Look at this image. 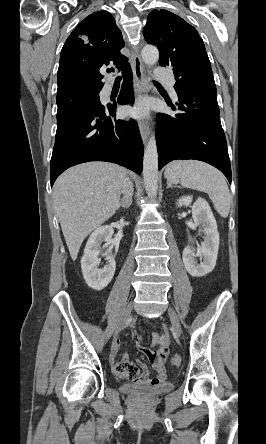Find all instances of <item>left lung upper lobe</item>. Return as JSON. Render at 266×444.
Instances as JSON below:
<instances>
[{"mask_svg":"<svg viewBox=\"0 0 266 444\" xmlns=\"http://www.w3.org/2000/svg\"><path fill=\"white\" fill-rule=\"evenodd\" d=\"M143 35L159 49L160 65L173 68L176 92H216L203 40L193 26L170 11L153 10Z\"/></svg>","mask_w":266,"mask_h":444,"instance_id":"1","label":"left lung upper lobe"}]
</instances>
